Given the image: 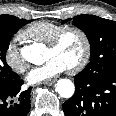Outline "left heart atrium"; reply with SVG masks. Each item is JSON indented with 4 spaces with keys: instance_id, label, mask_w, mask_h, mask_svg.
<instances>
[{
    "instance_id": "39dd6f15",
    "label": "left heart atrium",
    "mask_w": 116,
    "mask_h": 116,
    "mask_svg": "<svg viewBox=\"0 0 116 116\" xmlns=\"http://www.w3.org/2000/svg\"><path fill=\"white\" fill-rule=\"evenodd\" d=\"M67 69L66 64L60 59L53 57L43 65L34 67L27 75L30 83H38L56 77Z\"/></svg>"
}]
</instances>
